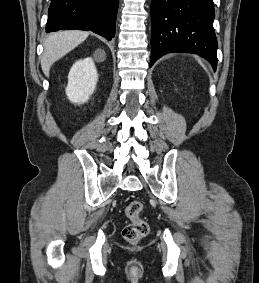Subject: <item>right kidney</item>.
Listing matches in <instances>:
<instances>
[{"mask_svg": "<svg viewBox=\"0 0 259 283\" xmlns=\"http://www.w3.org/2000/svg\"><path fill=\"white\" fill-rule=\"evenodd\" d=\"M98 73L91 57L76 61L68 74L66 95L70 102L83 104L94 93Z\"/></svg>", "mask_w": 259, "mask_h": 283, "instance_id": "obj_1", "label": "right kidney"}]
</instances>
